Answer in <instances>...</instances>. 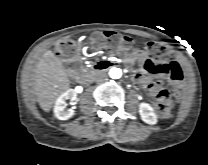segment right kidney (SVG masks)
Segmentation results:
<instances>
[{
	"label": "right kidney",
	"mask_w": 208,
	"mask_h": 165,
	"mask_svg": "<svg viewBox=\"0 0 208 165\" xmlns=\"http://www.w3.org/2000/svg\"><path fill=\"white\" fill-rule=\"evenodd\" d=\"M70 100L71 104H75L77 100V92L74 89H68L61 94L55 102L54 114L59 120H67L74 115L73 109H66V101Z\"/></svg>",
	"instance_id": "right-kidney-1"
}]
</instances>
